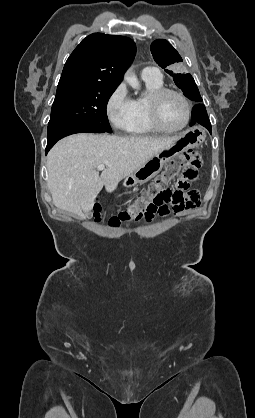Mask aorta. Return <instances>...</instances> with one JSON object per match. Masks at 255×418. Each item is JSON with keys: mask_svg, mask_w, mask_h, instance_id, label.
I'll return each instance as SVG.
<instances>
[{"mask_svg": "<svg viewBox=\"0 0 255 418\" xmlns=\"http://www.w3.org/2000/svg\"><path fill=\"white\" fill-rule=\"evenodd\" d=\"M124 79L132 88L139 89L138 79L130 70L125 73Z\"/></svg>", "mask_w": 255, "mask_h": 418, "instance_id": "1", "label": "aorta"}]
</instances>
